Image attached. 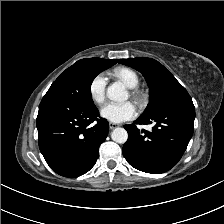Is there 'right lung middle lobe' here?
I'll return each instance as SVG.
<instances>
[{"instance_id": "obj_1", "label": "right lung middle lobe", "mask_w": 224, "mask_h": 224, "mask_svg": "<svg viewBox=\"0 0 224 224\" xmlns=\"http://www.w3.org/2000/svg\"><path fill=\"white\" fill-rule=\"evenodd\" d=\"M111 66L96 58L79 60L52 83L45 96L58 97L77 106L95 107L90 91L92 81Z\"/></svg>"}]
</instances>
